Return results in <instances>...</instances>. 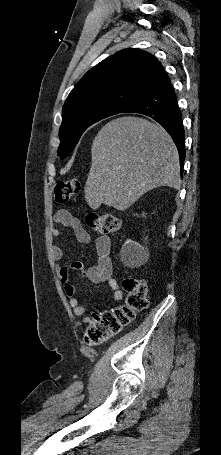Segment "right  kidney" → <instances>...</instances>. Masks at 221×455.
<instances>
[{
    "instance_id": "ca27d5eb",
    "label": "right kidney",
    "mask_w": 221,
    "mask_h": 455,
    "mask_svg": "<svg viewBox=\"0 0 221 455\" xmlns=\"http://www.w3.org/2000/svg\"><path fill=\"white\" fill-rule=\"evenodd\" d=\"M148 255V250L134 240L128 239L121 248V260L127 266L134 267Z\"/></svg>"
}]
</instances>
